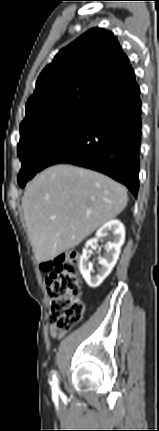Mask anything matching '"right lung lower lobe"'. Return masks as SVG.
<instances>
[{"instance_id":"obj_1","label":"right lung lower lobe","mask_w":159,"mask_h":431,"mask_svg":"<svg viewBox=\"0 0 159 431\" xmlns=\"http://www.w3.org/2000/svg\"><path fill=\"white\" fill-rule=\"evenodd\" d=\"M139 86L89 114L46 153L41 170L70 163L104 173L137 197L141 140Z\"/></svg>"}]
</instances>
